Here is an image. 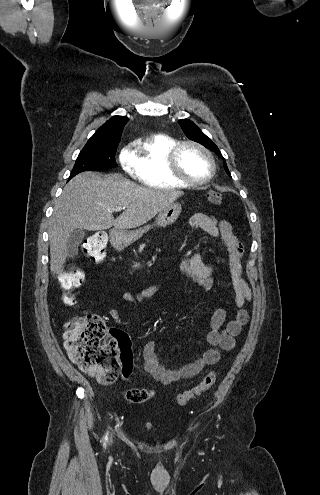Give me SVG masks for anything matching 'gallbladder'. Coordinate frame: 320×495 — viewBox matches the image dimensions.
<instances>
[{
	"label": "gallbladder",
	"mask_w": 320,
	"mask_h": 495,
	"mask_svg": "<svg viewBox=\"0 0 320 495\" xmlns=\"http://www.w3.org/2000/svg\"><path fill=\"white\" fill-rule=\"evenodd\" d=\"M84 236L85 231L83 229H75L70 233L67 239L69 256H74L77 254L78 246L82 242Z\"/></svg>",
	"instance_id": "bac80fb5"
}]
</instances>
